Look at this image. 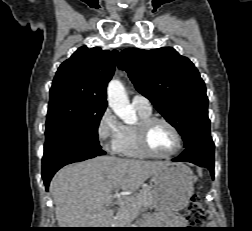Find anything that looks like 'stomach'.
<instances>
[{"instance_id":"obj_1","label":"stomach","mask_w":252,"mask_h":231,"mask_svg":"<svg viewBox=\"0 0 252 231\" xmlns=\"http://www.w3.org/2000/svg\"><path fill=\"white\" fill-rule=\"evenodd\" d=\"M193 173L184 164H170L152 177L153 207L158 211H180L194 193Z\"/></svg>"}]
</instances>
